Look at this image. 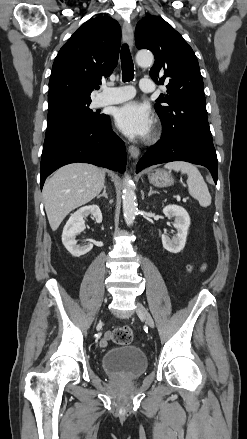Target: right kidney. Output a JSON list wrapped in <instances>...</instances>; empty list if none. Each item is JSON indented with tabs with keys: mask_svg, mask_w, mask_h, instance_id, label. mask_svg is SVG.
<instances>
[{
	"mask_svg": "<svg viewBox=\"0 0 247 439\" xmlns=\"http://www.w3.org/2000/svg\"><path fill=\"white\" fill-rule=\"evenodd\" d=\"M90 214L95 218L96 223L102 222V213L99 206L89 205L84 206L73 213L64 226L62 243L72 256L80 257L91 251L93 248L92 244L78 245L75 239L76 235L85 229L84 218Z\"/></svg>",
	"mask_w": 247,
	"mask_h": 439,
	"instance_id": "1",
	"label": "right kidney"
}]
</instances>
